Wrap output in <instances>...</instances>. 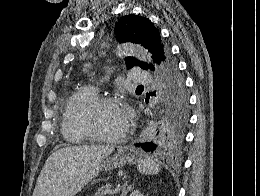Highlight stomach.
I'll return each mask as SVG.
<instances>
[{"mask_svg": "<svg viewBox=\"0 0 260 196\" xmlns=\"http://www.w3.org/2000/svg\"><path fill=\"white\" fill-rule=\"evenodd\" d=\"M135 160L136 158L132 152L125 150V148H120L118 154H115V156H108V158L102 160L100 170H102V172H107V170H114V168H123L125 164H131V162H135Z\"/></svg>", "mask_w": 260, "mask_h": 196, "instance_id": "obj_1", "label": "stomach"}]
</instances>
